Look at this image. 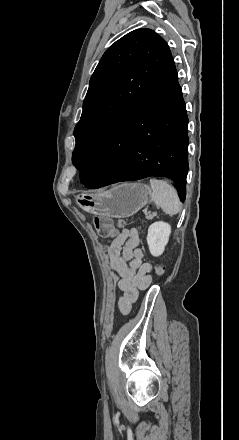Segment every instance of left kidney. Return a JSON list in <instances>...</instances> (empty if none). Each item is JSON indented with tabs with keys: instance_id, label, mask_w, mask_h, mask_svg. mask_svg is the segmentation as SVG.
<instances>
[{
	"instance_id": "1",
	"label": "left kidney",
	"mask_w": 239,
	"mask_h": 440,
	"mask_svg": "<svg viewBox=\"0 0 239 440\" xmlns=\"http://www.w3.org/2000/svg\"><path fill=\"white\" fill-rule=\"evenodd\" d=\"M171 226L165 222H155L148 228L147 244L152 256H161L168 244Z\"/></svg>"
}]
</instances>
